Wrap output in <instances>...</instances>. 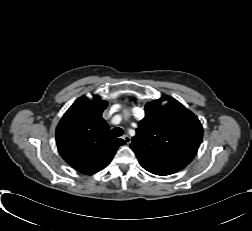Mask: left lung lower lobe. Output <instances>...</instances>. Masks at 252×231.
Segmentation results:
<instances>
[{
    "label": "left lung lower lobe",
    "instance_id": "left-lung-lower-lobe-1",
    "mask_svg": "<svg viewBox=\"0 0 252 231\" xmlns=\"http://www.w3.org/2000/svg\"><path fill=\"white\" fill-rule=\"evenodd\" d=\"M139 163L147 171L156 175H170L186 167L185 164L172 161L139 160Z\"/></svg>",
    "mask_w": 252,
    "mask_h": 231
}]
</instances>
